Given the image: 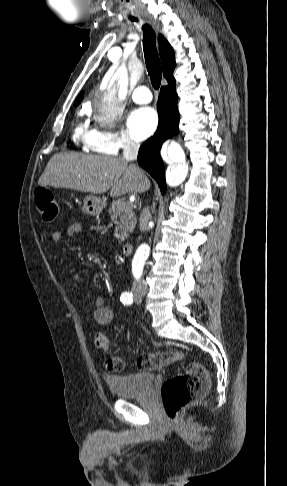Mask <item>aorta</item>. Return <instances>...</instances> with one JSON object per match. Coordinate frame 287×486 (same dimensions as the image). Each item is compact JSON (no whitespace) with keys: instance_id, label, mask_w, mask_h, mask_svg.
Wrapping results in <instances>:
<instances>
[{"instance_id":"obj_1","label":"aorta","mask_w":287,"mask_h":486,"mask_svg":"<svg viewBox=\"0 0 287 486\" xmlns=\"http://www.w3.org/2000/svg\"><path fill=\"white\" fill-rule=\"evenodd\" d=\"M130 85L129 75L125 65L119 67L109 79L106 87L96 96L94 101V115L97 121L108 124L113 122L123 110V100L127 95ZM168 155L172 162L166 173V183L170 187L179 186L186 178L188 166L185 163L184 152L176 142H171L168 147ZM149 246L141 244L132 261L134 276L141 272L145 261L149 256Z\"/></svg>"}]
</instances>
